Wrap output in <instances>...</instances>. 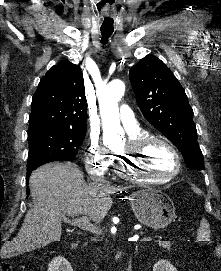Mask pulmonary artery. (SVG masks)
<instances>
[{
  "label": "pulmonary artery",
  "instance_id": "1",
  "mask_svg": "<svg viewBox=\"0 0 221 271\" xmlns=\"http://www.w3.org/2000/svg\"><path fill=\"white\" fill-rule=\"evenodd\" d=\"M120 122H123V127H139L138 117L136 112H132V107H119ZM140 128H127V133H140Z\"/></svg>",
  "mask_w": 221,
  "mask_h": 271
}]
</instances>
